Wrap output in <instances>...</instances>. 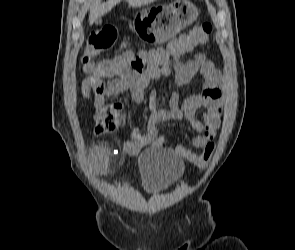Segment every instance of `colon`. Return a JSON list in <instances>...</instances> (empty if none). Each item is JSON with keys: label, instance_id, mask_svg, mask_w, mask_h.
I'll return each instance as SVG.
<instances>
[{"label": "colon", "instance_id": "colon-1", "mask_svg": "<svg viewBox=\"0 0 295 250\" xmlns=\"http://www.w3.org/2000/svg\"><path fill=\"white\" fill-rule=\"evenodd\" d=\"M212 33L210 23H202L194 26L187 34L181 35L175 39L176 47L180 50L191 49L197 45H204ZM117 39V32L110 25L93 31L86 42L85 50L82 56L84 69L95 75H107L113 71V63L109 60H103L98 63L94 59L111 48ZM119 108L116 105H103L95 109L94 131L98 135H108L114 133L120 126ZM215 143H207L200 155L193 154L189 156V161L199 168H205L212 159L215 151Z\"/></svg>", "mask_w": 295, "mask_h": 250}]
</instances>
